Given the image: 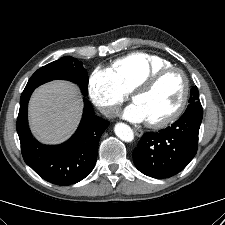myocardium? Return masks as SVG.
<instances>
[{
    "mask_svg": "<svg viewBox=\"0 0 225 225\" xmlns=\"http://www.w3.org/2000/svg\"><path fill=\"white\" fill-rule=\"evenodd\" d=\"M170 72H177L180 74L181 78H182V82H183V92H182V96L181 99L178 103V105L176 106V108L169 113L168 115H166L165 117L156 120V121H147V125L151 128L154 129H160L163 128L165 126H168L169 124L175 122L184 112L187 102H188V98H189V90H190V86H189V79L186 75V73L179 67L176 66H168V67H164L162 69H159L155 72H153L152 74H150L149 76H147L133 91H132V100L135 98V96L143 94L148 92L149 90H151L154 85L166 74L170 73Z\"/></svg>",
    "mask_w": 225,
    "mask_h": 225,
    "instance_id": "myocardium-1",
    "label": "myocardium"
}]
</instances>
